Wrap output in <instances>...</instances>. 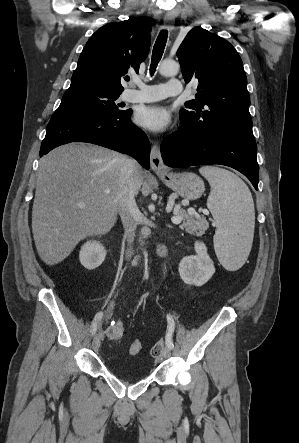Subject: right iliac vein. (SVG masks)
<instances>
[{
	"instance_id": "obj_1",
	"label": "right iliac vein",
	"mask_w": 299,
	"mask_h": 443,
	"mask_svg": "<svg viewBox=\"0 0 299 443\" xmlns=\"http://www.w3.org/2000/svg\"><path fill=\"white\" fill-rule=\"evenodd\" d=\"M99 347H100V337H99V335L97 334V335L93 338V341H92V348H93L94 351H97V350L99 349Z\"/></svg>"
}]
</instances>
